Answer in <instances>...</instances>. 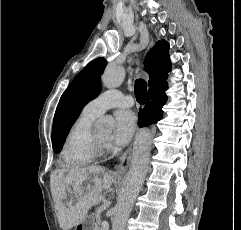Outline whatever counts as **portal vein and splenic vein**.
Returning <instances> with one entry per match:
<instances>
[{
	"instance_id": "18ae733b",
	"label": "portal vein and splenic vein",
	"mask_w": 241,
	"mask_h": 230,
	"mask_svg": "<svg viewBox=\"0 0 241 230\" xmlns=\"http://www.w3.org/2000/svg\"><path fill=\"white\" fill-rule=\"evenodd\" d=\"M109 225H108V223L107 222H103L102 223V227L105 229V228H107Z\"/></svg>"
}]
</instances>
